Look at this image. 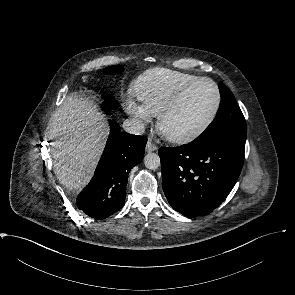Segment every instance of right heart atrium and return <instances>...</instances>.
Instances as JSON below:
<instances>
[{"label": "right heart atrium", "mask_w": 295, "mask_h": 295, "mask_svg": "<svg viewBox=\"0 0 295 295\" xmlns=\"http://www.w3.org/2000/svg\"><path fill=\"white\" fill-rule=\"evenodd\" d=\"M127 110L130 115L138 120L141 126L149 123L152 118L150 111L142 103H138L133 99H128Z\"/></svg>", "instance_id": "1"}]
</instances>
